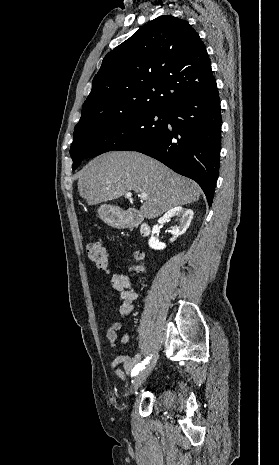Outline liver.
I'll return each instance as SVG.
<instances>
[{"label": "liver", "instance_id": "obj_1", "mask_svg": "<svg viewBox=\"0 0 279 465\" xmlns=\"http://www.w3.org/2000/svg\"><path fill=\"white\" fill-rule=\"evenodd\" d=\"M131 190L147 194L140 208L141 217L147 219L200 197V187L194 181L138 152H107L80 171L78 191L90 206L115 200Z\"/></svg>", "mask_w": 279, "mask_h": 465}]
</instances>
